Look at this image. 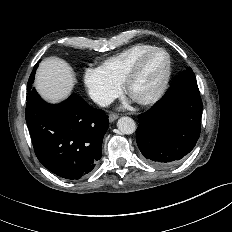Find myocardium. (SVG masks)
Masks as SVG:
<instances>
[{"mask_svg":"<svg viewBox=\"0 0 232 232\" xmlns=\"http://www.w3.org/2000/svg\"><path fill=\"white\" fill-rule=\"evenodd\" d=\"M156 52H162L165 54L166 58H167V65H166V71L164 74V77L162 79L161 84L159 85V87L157 88V90L151 94L150 96L143 98V99H138L135 100L138 104L140 105H150L153 104L155 102H157L165 93L170 79H171V75H172V59L171 56L169 54V52L161 47H153L147 51H145L144 53H142L141 55H139L136 60L133 62V64L131 65L130 69L128 70L122 86H123V90L125 91L126 94L129 95V90H130V86L133 83V81L135 80V78L137 77V75L139 74L145 60L152 55L153 53Z\"/></svg>","mask_w":232,"mask_h":232,"instance_id":"myocardium-1","label":"myocardium"}]
</instances>
